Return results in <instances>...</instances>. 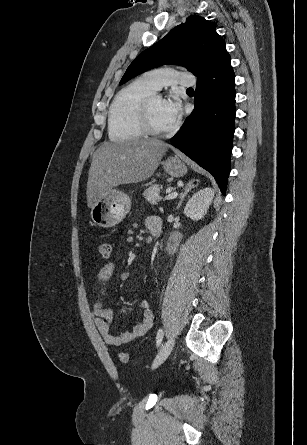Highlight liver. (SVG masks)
I'll return each mask as SVG.
<instances>
[{
	"mask_svg": "<svg viewBox=\"0 0 307 445\" xmlns=\"http://www.w3.org/2000/svg\"><path fill=\"white\" fill-rule=\"evenodd\" d=\"M168 146L163 140L103 142L95 150L88 172L87 204L92 208L99 198L111 194L119 184L141 182L152 176Z\"/></svg>",
	"mask_w": 307,
	"mask_h": 445,
	"instance_id": "liver-1",
	"label": "liver"
}]
</instances>
